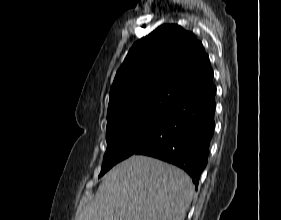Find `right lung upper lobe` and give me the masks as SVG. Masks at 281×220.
Masks as SVG:
<instances>
[{
    "label": "right lung upper lobe",
    "mask_w": 281,
    "mask_h": 220,
    "mask_svg": "<svg viewBox=\"0 0 281 220\" xmlns=\"http://www.w3.org/2000/svg\"><path fill=\"white\" fill-rule=\"evenodd\" d=\"M203 45L177 24H164L134 43L110 90L107 124L147 112L169 113L183 98L212 87Z\"/></svg>",
    "instance_id": "cb5924a9"
}]
</instances>
